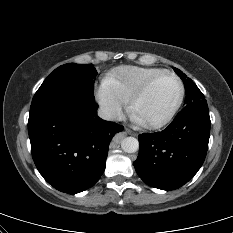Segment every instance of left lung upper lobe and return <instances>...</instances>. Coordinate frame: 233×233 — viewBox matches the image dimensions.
Returning <instances> with one entry per match:
<instances>
[{
	"label": "left lung upper lobe",
	"mask_w": 233,
	"mask_h": 233,
	"mask_svg": "<svg viewBox=\"0 0 233 233\" xmlns=\"http://www.w3.org/2000/svg\"><path fill=\"white\" fill-rule=\"evenodd\" d=\"M173 69L176 72V74L183 80L185 85L186 98L184 104H189L193 101L205 98L203 93L199 90V88L190 78H186L185 74L181 70L175 67Z\"/></svg>",
	"instance_id": "1"
}]
</instances>
